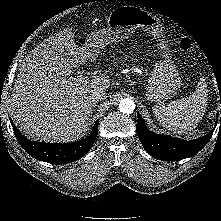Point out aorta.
<instances>
[{
  "instance_id": "1",
  "label": "aorta",
  "mask_w": 221,
  "mask_h": 221,
  "mask_svg": "<svg viewBox=\"0 0 221 221\" xmlns=\"http://www.w3.org/2000/svg\"><path fill=\"white\" fill-rule=\"evenodd\" d=\"M119 110L125 114H131L135 110V103L130 98H124L119 103Z\"/></svg>"
}]
</instances>
